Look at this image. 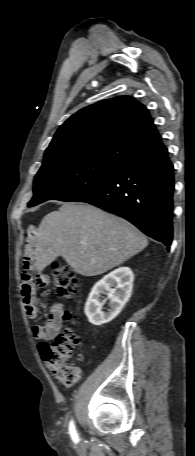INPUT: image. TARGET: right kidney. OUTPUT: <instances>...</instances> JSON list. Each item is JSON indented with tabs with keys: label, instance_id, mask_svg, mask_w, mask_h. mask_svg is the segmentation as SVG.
<instances>
[{
	"label": "right kidney",
	"instance_id": "ca27d5eb",
	"mask_svg": "<svg viewBox=\"0 0 195 456\" xmlns=\"http://www.w3.org/2000/svg\"><path fill=\"white\" fill-rule=\"evenodd\" d=\"M134 274L129 267H120L105 275L92 288L85 304V314L89 322L101 326L112 321L123 309L131 296ZM102 295H107L109 309L103 311L105 300H100Z\"/></svg>",
	"mask_w": 195,
	"mask_h": 456
}]
</instances>
